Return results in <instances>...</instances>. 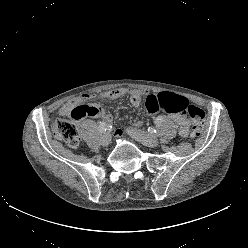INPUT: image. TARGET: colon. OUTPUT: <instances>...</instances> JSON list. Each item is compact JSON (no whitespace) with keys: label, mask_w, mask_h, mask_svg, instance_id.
Masks as SVG:
<instances>
[{"label":"colon","mask_w":248,"mask_h":248,"mask_svg":"<svg viewBox=\"0 0 248 248\" xmlns=\"http://www.w3.org/2000/svg\"><path fill=\"white\" fill-rule=\"evenodd\" d=\"M148 114L165 112L168 114H187L192 122L190 135L198 137L205 127V113L195 105H190L186 98L169 92L149 95L145 101ZM91 113L89 105H78L71 111V118L80 120ZM55 138L64 141L71 147H77L80 141L78 128L69 120L57 119L51 125Z\"/></svg>","instance_id":"5ec220e1"}]
</instances>
